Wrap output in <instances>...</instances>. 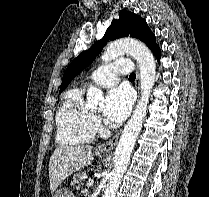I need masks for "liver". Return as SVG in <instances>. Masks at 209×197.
I'll return each mask as SVG.
<instances>
[{"instance_id":"liver-1","label":"liver","mask_w":209,"mask_h":197,"mask_svg":"<svg viewBox=\"0 0 209 197\" xmlns=\"http://www.w3.org/2000/svg\"><path fill=\"white\" fill-rule=\"evenodd\" d=\"M92 150V146L89 145H61L54 150L49 161V180L52 194L73 172L92 163Z\"/></svg>"}]
</instances>
